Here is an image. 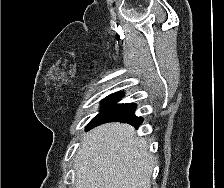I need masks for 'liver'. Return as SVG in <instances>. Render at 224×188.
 <instances>
[{
  "label": "liver",
  "mask_w": 224,
  "mask_h": 188,
  "mask_svg": "<svg viewBox=\"0 0 224 188\" xmlns=\"http://www.w3.org/2000/svg\"><path fill=\"white\" fill-rule=\"evenodd\" d=\"M74 162L75 188H150L153 156L128 124L108 123L88 132Z\"/></svg>",
  "instance_id": "1"
}]
</instances>
